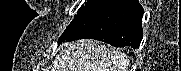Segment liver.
Segmentation results:
<instances>
[{
  "instance_id": "liver-1",
  "label": "liver",
  "mask_w": 181,
  "mask_h": 71,
  "mask_svg": "<svg viewBox=\"0 0 181 71\" xmlns=\"http://www.w3.org/2000/svg\"><path fill=\"white\" fill-rule=\"evenodd\" d=\"M53 65L52 71H127L129 59L118 50L82 39L68 43Z\"/></svg>"
}]
</instances>
